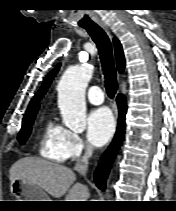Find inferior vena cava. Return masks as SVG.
Returning a JSON list of instances; mask_svg holds the SVG:
<instances>
[{"label":"inferior vena cava","instance_id":"inferior-vena-cava-1","mask_svg":"<svg viewBox=\"0 0 176 211\" xmlns=\"http://www.w3.org/2000/svg\"><path fill=\"white\" fill-rule=\"evenodd\" d=\"M93 153V147L87 145L83 157L76 162L74 169L81 175H85L88 169V160Z\"/></svg>","mask_w":176,"mask_h":211}]
</instances>
